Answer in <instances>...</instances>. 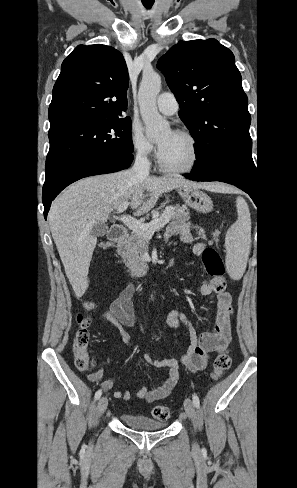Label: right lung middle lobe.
Wrapping results in <instances>:
<instances>
[{
  "mask_svg": "<svg viewBox=\"0 0 297 488\" xmlns=\"http://www.w3.org/2000/svg\"><path fill=\"white\" fill-rule=\"evenodd\" d=\"M49 140L45 180L75 163L134 150L130 117L76 124L49 133Z\"/></svg>",
  "mask_w": 297,
  "mask_h": 488,
  "instance_id": "obj_1",
  "label": "right lung middle lobe"
}]
</instances>
